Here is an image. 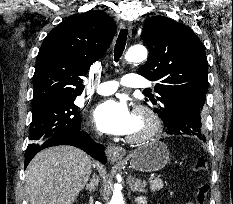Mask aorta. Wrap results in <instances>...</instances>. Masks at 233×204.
<instances>
[{
    "label": "aorta",
    "instance_id": "obj_1",
    "mask_svg": "<svg viewBox=\"0 0 233 204\" xmlns=\"http://www.w3.org/2000/svg\"><path fill=\"white\" fill-rule=\"evenodd\" d=\"M147 58V49L143 45H134L128 49L125 54V60L128 62H142ZM110 204H124L119 184L114 185L113 195Z\"/></svg>",
    "mask_w": 233,
    "mask_h": 204
}]
</instances>
